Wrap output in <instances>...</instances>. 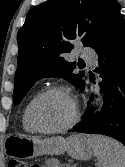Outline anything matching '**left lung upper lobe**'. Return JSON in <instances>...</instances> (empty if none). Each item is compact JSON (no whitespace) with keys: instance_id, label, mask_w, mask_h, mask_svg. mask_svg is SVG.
<instances>
[{"instance_id":"left-lung-upper-lobe-1","label":"left lung upper lobe","mask_w":125,"mask_h":167,"mask_svg":"<svg viewBox=\"0 0 125 167\" xmlns=\"http://www.w3.org/2000/svg\"><path fill=\"white\" fill-rule=\"evenodd\" d=\"M120 15L116 0H47L33 7L18 32L14 104L43 77L66 76L83 90L84 73L73 74L76 63L63 56L71 51L75 39L95 49Z\"/></svg>"}]
</instances>
